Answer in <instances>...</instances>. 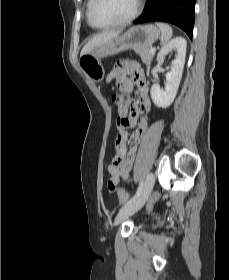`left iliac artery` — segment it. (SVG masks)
<instances>
[{
    "label": "left iliac artery",
    "mask_w": 229,
    "mask_h": 280,
    "mask_svg": "<svg viewBox=\"0 0 229 280\" xmlns=\"http://www.w3.org/2000/svg\"><path fill=\"white\" fill-rule=\"evenodd\" d=\"M142 189H143V182H140L135 195L125 204V206H127V205L131 204L132 202H134L139 197V195L141 194Z\"/></svg>",
    "instance_id": "1"
}]
</instances>
